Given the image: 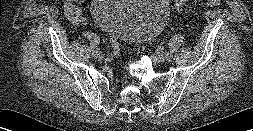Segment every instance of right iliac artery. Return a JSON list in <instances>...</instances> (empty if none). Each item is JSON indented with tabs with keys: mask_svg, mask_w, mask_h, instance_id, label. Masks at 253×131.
I'll use <instances>...</instances> for the list:
<instances>
[{
	"mask_svg": "<svg viewBox=\"0 0 253 131\" xmlns=\"http://www.w3.org/2000/svg\"><path fill=\"white\" fill-rule=\"evenodd\" d=\"M91 53H92L93 55L99 56V55L101 54V51H100L99 49H97L96 47H93V48L91 49Z\"/></svg>",
	"mask_w": 253,
	"mask_h": 131,
	"instance_id": "82829eb1",
	"label": "right iliac artery"
}]
</instances>
